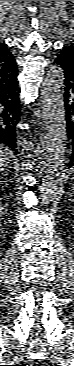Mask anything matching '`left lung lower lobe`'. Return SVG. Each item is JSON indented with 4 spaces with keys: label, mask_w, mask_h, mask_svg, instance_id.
Returning a JSON list of instances; mask_svg holds the SVG:
<instances>
[{
    "label": "left lung lower lobe",
    "mask_w": 74,
    "mask_h": 366,
    "mask_svg": "<svg viewBox=\"0 0 74 366\" xmlns=\"http://www.w3.org/2000/svg\"><path fill=\"white\" fill-rule=\"evenodd\" d=\"M64 74V101L66 109V126L68 138L71 139L74 147V69L65 65L61 60H55ZM71 164H74V149L71 158Z\"/></svg>",
    "instance_id": "obj_1"
}]
</instances>
